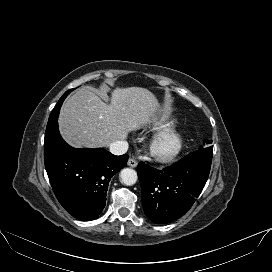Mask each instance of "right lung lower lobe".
<instances>
[{"label": "right lung lower lobe", "instance_id": "98d812e1", "mask_svg": "<svg viewBox=\"0 0 272 272\" xmlns=\"http://www.w3.org/2000/svg\"><path fill=\"white\" fill-rule=\"evenodd\" d=\"M65 95L55 106L59 115ZM58 119V116H57ZM105 149H76L60 136L57 120L47 126L44 162L52 189L60 204L75 218L94 220L106 204L110 179L128 161Z\"/></svg>", "mask_w": 272, "mask_h": 272}]
</instances>
